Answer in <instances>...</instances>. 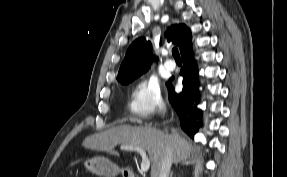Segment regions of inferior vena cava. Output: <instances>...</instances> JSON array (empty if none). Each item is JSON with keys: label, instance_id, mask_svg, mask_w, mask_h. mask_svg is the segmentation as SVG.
Returning <instances> with one entry per match:
<instances>
[{"label": "inferior vena cava", "instance_id": "1", "mask_svg": "<svg viewBox=\"0 0 287 177\" xmlns=\"http://www.w3.org/2000/svg\"><path fill=\"white\" fill-rule=\"evenodd\" d=\"M171 164H172V156H171V151L170 148L167 147L165 149V154L161 158L158 167L154 174L152 175L153 177H168L171 169Z\"/></svg>", "mask_w": 287, "mask_h": 177}]
</instances>
